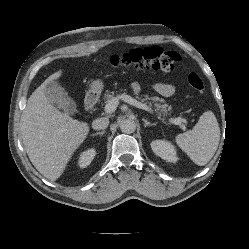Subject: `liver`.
Segmentation results:
<instances>
[{
  "instance_id": "6515ba94",
  "label": "liver",
  "mask_w": 249,
  "mask_h": 249,
  "mask_svg": "<svg viewBox=\"0 0 249 249\" xmlns=\"http://www.w3.org/2000/svg\"><path fill=\"white\" fill-rule=\"evenodd\" d=\"M62 70L50 75L29 97L21 117V133L27 155L47 179L57 180L75 150L84 142L89 126L60 112L45 96L50 81L60 78Z\"/></svg>"
}]
</instances>
